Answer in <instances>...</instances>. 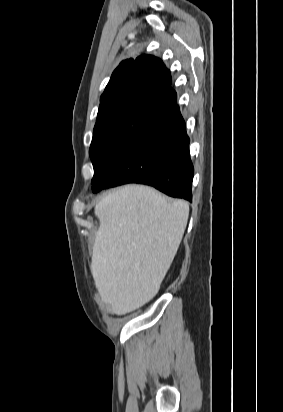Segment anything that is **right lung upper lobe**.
I'll list each match as a JSON object with an SVG mask.
<instances>
[{
    "label": "right lung upper lobe",
    "mask_w": 283,
    "mask_h": 412,
    "mask_svg": "<svg viewBox=\"0 0 283 412\" xmlns=\"http://www.w3.org/2000/svg\"><path fill=\"white\" fill-rule=\"evenodd\" d=\"M164 69L162 61L150 55L122 61L101 95L97 120L124 113L165 114L177 95L170 86V72L165 78Z\"/></svg>",
    "instance_id": "obj_1"
}]
</instances>
